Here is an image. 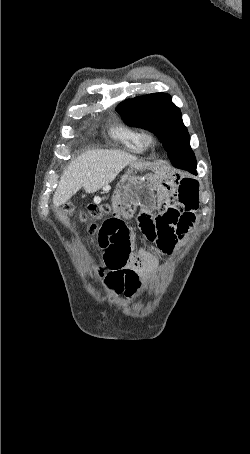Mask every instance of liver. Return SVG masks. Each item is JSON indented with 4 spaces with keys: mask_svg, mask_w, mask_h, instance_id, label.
Listing matches in <instances>:
<instances>
[{
    "mask_svg": "<svg viewBox=\"0 0 250 454\" xmlns=\"http://www.w3.org/2000/svg\"><path fill=\"white\" fill-rule=\"evenodd\" d=\"M139 164L137 157L119 150H89L72 161L61 176L53 196V205L66 203L82 187L94 193L111 183L129 164Z\"/></svg>",
    "mask_w": 250,
    "mask_h": 454,
    "instance_id": "obj_1",
    "label": "liver"
}]
</instances>
